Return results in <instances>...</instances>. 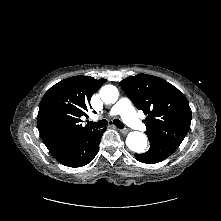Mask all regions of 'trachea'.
Returning <instances> with one entry per match:
<instances>
[{
	"label": "trachea",
	"mask_w": 221,
	"mask_h": 221,
	"mask_svg": "<svg viewBox=\"0 0 221 221\" xmlns=\"http://www.w3.org/2000/svg\"><path fill=\"white\" fill-rule=\"evenodd\" d=\"M87 124L92 126L93 128L99 129L106 127L108 125V121L105 119L98 122L87 121ZM113 124L116 125L118 128H124V124L119 119H114Z\"/></svg>",
	"instance_id": "1"
}]
</instances>
